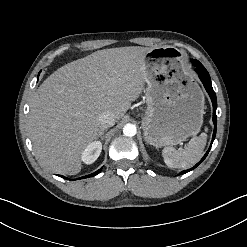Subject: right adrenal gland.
Segmentation results:
<instances>
[{
  "mask_svg": "<svg viewBox=\"0 0 247 247\" xmlns=\"http://www.w3.org/2000/svg\"><path fill=\"white\" fill-rule=\"evenodd\" d=\"M104 131H105V129H100V131H99V137L101 138V140H103V138H104Z\"/></svg>",
  "mask_w": 247,
  "mask_h": 247,
  "instance_id": "1",
  "label": "right adrenal gland"
}]
</instances>
